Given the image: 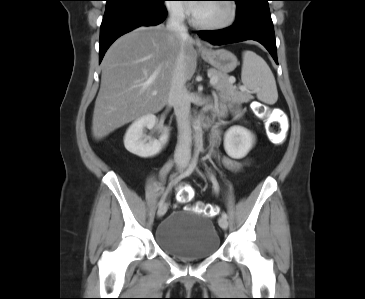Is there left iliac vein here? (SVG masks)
I'll return each mask as SVG.
<instances>
[{
	"mask_svg": "<svg viewBox=\"0 0 365 299\" xmlns=\"http://www.w3.org/2000/svg\"><path fill=\"white\" fill-rule=\"evenodd\" d=\"M219 226L223 229L226 230L228 228V221L226 218L224 217H220L218 220Z\"/></svg>",
	"mask_w": 365,
	"mask_h": 299,
	"instance_id": "1",
	"label": "left iliac vein"
}]
</instances>
